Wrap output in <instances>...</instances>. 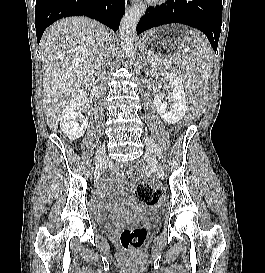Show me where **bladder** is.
<instances>
[{"label":"bladder","mask_w":265,"mask_h":273,"mask_svg":"<svg viewBox=\"0 0 265 273\" xmlns=\"http://www.w3.org/2000/svg\"><path fill=\"white\" fill-rule=\"evenodd\" d=\"M101 223L105 228H109L112 224V220L111 219L102 220Z\"/></svg>","instance_id":"31cf9c89"}]
</instances>
